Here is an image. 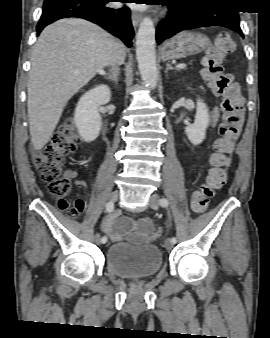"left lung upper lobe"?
<instances>
[{
  "instance_id": "obj_1",
  "label": "left lung upper lobe",
  "mask_w": 270,
  "mask_h": 338,
  "mask_svg": "<svg viewBox=\"0 0 270 338\" xmlns=\"http://www.w3.org/2000/svg\"><path fill=\"white\" fill-rule=\"evenodd\" d=\"M195 1L223 2L224 0H195Z\"/></svg>"
}]
</instances>
